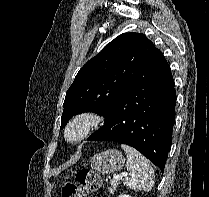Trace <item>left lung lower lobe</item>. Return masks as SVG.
<instances>
[{
	"mask_svg": "<svg viewBox=\"0 0 209 197\" xmlns=\"http://www.w3.org/2000/svg\"><path fill=\"white\" fill-rule=\"evenodd\" d=\"M176 90L161 53L144 77L122 95L104 125L87 140L134 147L164 171L175 120Z\"/></svg>",
	"mask_w": 209,
	"mask_h": 197,
	"instance_id": "1",
	"label": "left lung lower lobe"
}]
</instances>
